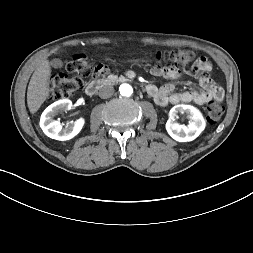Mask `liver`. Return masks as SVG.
Returning <instances> with one entry per match:
<instances>
[{
  "label": "liver",
  "mask_w": 253,
  "mask_h": 253,
  "mask_svg": "<svg viewBox=\"0 0 253 253\" xmlns=\"http://www.w3.org/2000/svg\"><path fill=\"white\" fill-rule=\"evenodd\" d=\"M51 66L48 60L42 63L34 71L27 90V104L29 111L36 113L49 95V81Z\"/></svg>",
  "instance_id": "obj_1"
}]
</instances>
